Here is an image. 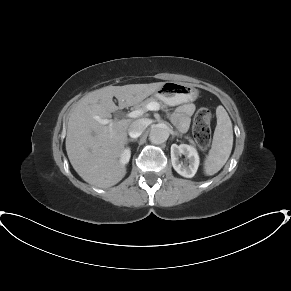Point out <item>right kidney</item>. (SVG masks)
Wrapping results in <instances>:
<instances>
[{"mask_svg": "<svg viewBox=\"0 0 291 291\" xmlns=\"http://www.w3.org/2000/svg\"><path fill=\"white\" fill-rule=\"evenodd\" d=\"M131 156V151L129 148H126L122 151L121 155H120V162L121 164L125 165L129 162Z\"/></svg>", "mask_w": 291, "mask_h": 291, "instance_id": "right-kidney-1", "label": "right kidney"}]
</instances>
